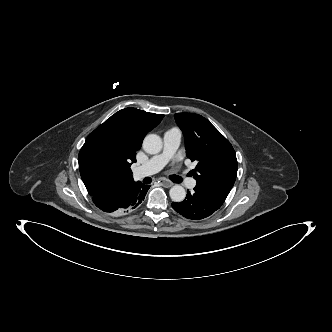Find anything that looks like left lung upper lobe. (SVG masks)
Here are the masks:
<instances>
[{"label": "left lung upper lobe", "instance_id": "obj_1", "mask_svg": "<svg viewBox=\"0 0 332 332\" xmlns=\"http://www.w3.org/2000/svg\"><path fill=\"white\" fill-rule=\"evenodd\" d=\"M176 123L186 142V155L197 162L191 171L194 189L223 204L237 175V159L230 142L204 117L193 113H177Z\"/></svg>", "mask_w": 332, "mask_h": 332}]
</instances>
